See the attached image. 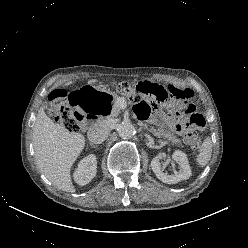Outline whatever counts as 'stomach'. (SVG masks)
Here are the masks:
<instances>
[{"instance_id":"stomach-1","label":"stomach","mask_w":248,"mask_h":248,"mask_svg":"<svg viewBox=\"0 0 248 248\" xmlns=\"http://www.w3.org/2000/svg\"><path fill=\"white\" fill-rule=\"evenodd\" d=\"M70 104L77 111L93 113L98 118H109L116 111V100L106 90L96 86H77L70 93Z\"/></svg>"}]
</instances>
